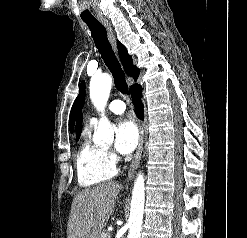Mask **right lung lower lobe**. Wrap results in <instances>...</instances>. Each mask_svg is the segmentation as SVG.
Here are the masks:
<instances>
[{"label": "right lung lower lobe", "instance_id": "1", "mask_svg": "<svg viewBox=\"0 0 247 238\" xmlns=\"http://www.w3.org/2000/svg\"><path fill=\"white\" fill-rule=\"evenodd\" d=\"M131 96L132 102L137 110L136 115L138 118L143 120V104L141 102V87L139 85H135L131 88Z\"/></svg>", "mask_w": 247, "mask_h": 238}]
</instances>
